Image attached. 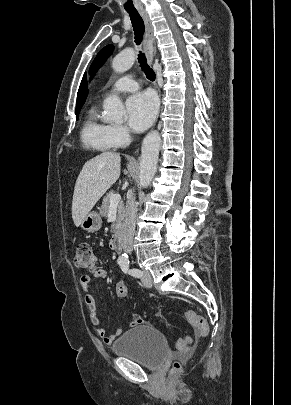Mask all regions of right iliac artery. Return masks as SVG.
I'll list each match as a JSON object with an SVG mask.
<instances>
[{"label": "right iliac artery", "mask_w": 291, "mask_h": 405, "mask_svg": "<svg viewBox=\"0 0 291 405\" xmlns=\"http://www.w3.org/2000/svg\"><path fill=\"white\" fill-rule=\"evenodd\" d=\"M123 262H124L123 260H119V261H118L119 264H121V263H123Z\"/></svg>", "instance_id": "obj_1"}]
</instances>
